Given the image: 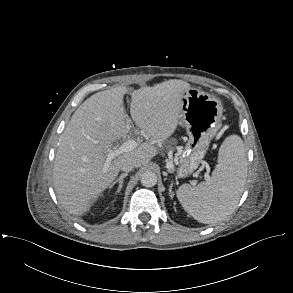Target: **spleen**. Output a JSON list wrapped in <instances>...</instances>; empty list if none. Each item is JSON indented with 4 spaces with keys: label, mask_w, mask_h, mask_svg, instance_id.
I'll return each instance as SVG.
<instances>
[{
    "label": "spleen",
    "mask_w": 293,
    "mask_h": 293,
    "mask_svg": "<svg viewBox=\"0 0 293 293\" xmlns=\"http://www.w3.org/2000/svg\"><path fill=\"white\" fill-rule=\"evenodd\" d=\"M247 176V159L242 139L228 136L220 146L218 164L204 184L181 185L177 198L184 210L203 224H214L236 208Z\"/></svg>",
    "instance_id": "spleen-1"
}]
</instances>
